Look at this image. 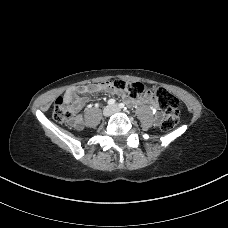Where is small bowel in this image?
<instances>
[{
	"instance_id": "1",
	"label": "small bowel",
	"mask_w": 228,
	"mask_h": 228,
	"mask_svg": "<svg viewBox=\"0 0 228 228\" xmlns=\"http://www.w3.org/2000/svg\"><path fill=\"white\" fill-rule=\"evenodd\" d=\"M106 92L110 94H118L125 97L124 94L119 93L113 86L112 82H103L97 84H90L85 86H72L69 87L64 93V98L69 103H72L74 110L79 111L84 105V100L80 97L83 94L87 93H99ZM140 102L149 104L156 112H159V105L157 101L151 95H144L140 98ZM75 127H79L81 125V118L76 117L74 121L71 123Z\"/></svg>"
}]
</instances>
